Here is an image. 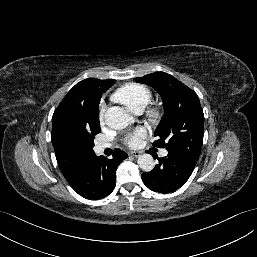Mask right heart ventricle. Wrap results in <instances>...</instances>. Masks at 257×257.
<instances>
[{"label":"right heart ventricle","mask_w":257,"mask_h":257,"mask_svg":"<svg viewBox=\"0 0 257 257\" xmlns=\"http://www.w3.org/2000/svg\"><path fill=\"white\" fill-rule=\"evenodd\" d=\"M112 98L125 105L130 111H142L151 101L152 92L144 84L129 83L117 89Z\"/></svg>","instance_id":"1"}]
</instances>
